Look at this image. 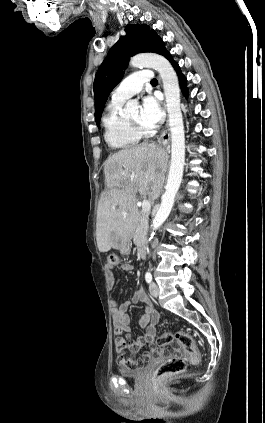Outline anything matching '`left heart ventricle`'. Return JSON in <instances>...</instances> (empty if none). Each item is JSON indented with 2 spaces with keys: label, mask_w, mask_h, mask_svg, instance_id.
<instances>
[{
  "label": "left heart ventricle",
  "mask_w": 265,
  "mask_h": 423,
  "mask_svg": "<svg viewBox=\"0 0 265 423\" xmlns=\"http://www.w3.org/2000/svg\"><path fill=\"white\" fill-rule=\"evenodd\" d=\"M129 118H130L132 121H134V122H136V123H139V124H142V125H143V123H142V121H141V112H140V110H136L135 112H133V113L129 116Z\"/></svg>",
  "instance_id": "left-heart-ventricle-1"
}]
</instances>
